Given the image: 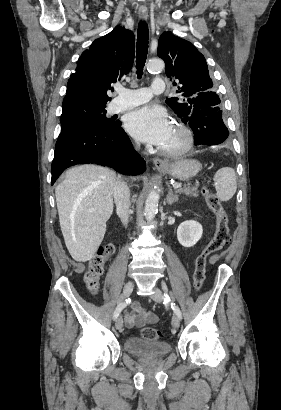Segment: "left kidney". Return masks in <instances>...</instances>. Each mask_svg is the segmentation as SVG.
I'll list each match as a JSON object with an SVG mask.
<instances>
[{
    "label": "left kidney",
    "instance_id": "1",
    "mask_svg": "<svg viewBox=\"0 0 281 410\" xmlns=\"http://www.w3.org/2000/svg\"><path fill=\"white\" fill-rule=\"evenodd\" d=\"M202 225L196 220L182 222L177 229L179 243L186 248L194 246L202 237Z\"/></svg>",
    "mask_w": 281,
    "mask_h": 410
}]
</instances>
